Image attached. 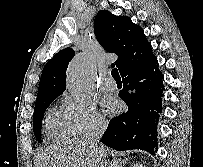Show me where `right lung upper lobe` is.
<instances>
[{"label":"right lung upper lobe","instance_id":"obj_1","mask_svg":"<svg viewBox=\"0 0 203 167\" xmlns=\"http://www.w3.org/2000/svg\"><path fill=\"white\" fill-rule=\"evenodd\" d=\"M94 32L106 51L118 55L114 64L121 76L155 56L143 29L127 16H115L107 10H101L95 17ZM74 55L71 48H66L47 62L41 74L36 103L58 97L65 91L66 70Z\"/></svg>","mask_w":203,"mask_h":167}]
</instances>
